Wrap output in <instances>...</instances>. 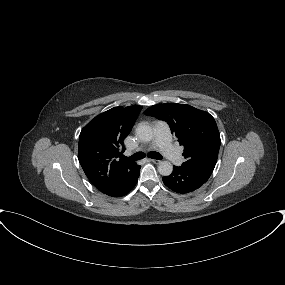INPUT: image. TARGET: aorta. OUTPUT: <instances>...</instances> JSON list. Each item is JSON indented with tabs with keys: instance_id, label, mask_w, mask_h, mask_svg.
<instances>
[{
	"instance_id": "762f6f07",
	"label": "aorta",
	"mask_w": 285,
	"mask_h": 285,
	"mask_svg": "<svg viewBox=\"0 0 285 285\" xmlns=\"http://www.w3.org/2000/svg\"><path fill=\"white\" fill-rule=\"evenodd\" d=\"M136 136L143 142H149L153 138V129L146 123H140L136 128ZM158 171L162 176H169L173 171V166L169 161H161Z\"/></svg>"
}]
</instances>
